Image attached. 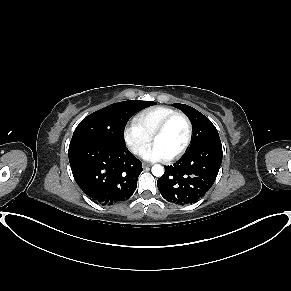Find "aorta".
Instances as JSON below:
<instances>
[{"label": "aorta", "instance_id": "obj_1", "mask_svg": "<svg viewBox=\"0 0 291 291\" xmlns=\"http://www.w3.org/2000/svg\"><path fill=\"white\" fill-rule=\"evenodd\" d=\"M164 173V168L163 166L156 164L152 167V174L156 177L162 176Z\"/></svg>", "mask_w": 291, "mask_h": 291}]
</instances>
